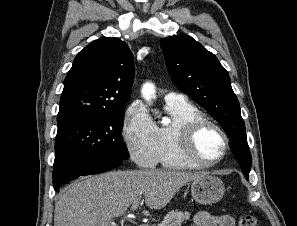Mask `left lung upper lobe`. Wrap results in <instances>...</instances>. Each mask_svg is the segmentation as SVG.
<instances>
[{
  "instance_id": "5c2ea615",
  "label": "left lung upper lobe",
  "mask_w": 297,
  "mask_h": 226,
  "mask_svg": "<svg viewBox=\"0 0 297 226\" xmlns=\"http://www.w3.org/2000/svg\"><path fill=\"white\" fill-rule=\"evenodd\" d=\"M174 85L208 110L230 139V149L246 179L252 165L240 104L228 72L217 57L192 37L181 34L160 40Z\"/></svg>"
}]
</instances>
